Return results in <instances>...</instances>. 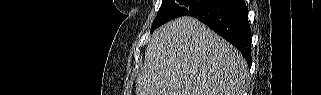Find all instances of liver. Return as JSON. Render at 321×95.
Here are the masks:
<instances>
[{
    "label": "liver",
    "mask_w": 321,
    "mask_h": 95,
    "mask_svg": "<svg viewBox=\"0 0 321 95\" xmlns=\"http://www.w3.org/2000/svg\"><path fill=\"white\" fill-rule=\"evenodd\" d=\"M244 57L195 18L154 32L136 80V95H241Z\"/></svg>",
    "instance_id": "liver-1"
}]
</instances>
